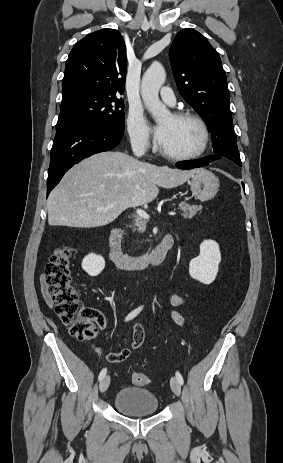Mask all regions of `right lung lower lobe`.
I'll use <instances>...</instances> for the list:
<instances>
[{
  "mask_svg": "<svg viewBox=\"0 0 283 463\" xmlns=\"http://www.w3.org/2000/svg\"><path fill=\"white\" fill-rule=\"evenodd\" d=\"M123 135L124 132L94 124L56 132L50 156L47 196L74 164L93 154L113 149Z\"/></svg>",
  "mask_w": 283,
  "mask_h": 463,
  "instance_id": "1",
  "label": "right lung lower lobe"
}]
</instances>
